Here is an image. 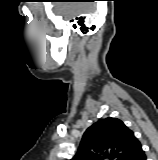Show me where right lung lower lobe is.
<instances>
[{"label":"right lung lower lobe","mask_w":158,"mask_h":160,"mask_svg":"<svg viewBox=\"0 0 158 160\" xmlns=\"http://www.w3.org/2000/svg\"><path fill=\"white\" fill-rule=\"evenodd\" d=\"M130 160H146V155L142 148Z\"/></svg>","instance_id":"98d812e1"}]
</instances>
